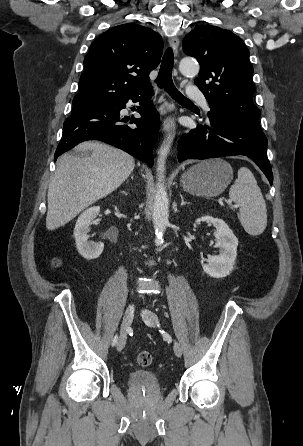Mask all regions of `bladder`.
<instances>
[{
    "label": "bladder",
    "instance_id": "1",
    "mask_svg": "<svg viewBox=\"0 0 303 446\" xmlns=\"http://www.w3.org/2000/svg\"><path fill=\"white\" fill-rule=\"evenodd\" d=\"M127 384L136 388H158L160 386L159 377L151 371L134 370L129 373Z\"/></svg>",
    "mask_w": 303,
    "mask_h": 446
}]
</instances>
